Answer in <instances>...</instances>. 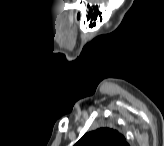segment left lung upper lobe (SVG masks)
Returning <instances> with one entry per match:
<instances>
[{"label": "left lung upper lobe", "instance_id": "1", "mask_svg": "<svg viewBox=\"0 0 164 146\" xmlns=\"http://www.w3.org/2000/svg\"><path fill=\"white\" fill-rule=\"evenodd\" d=\"M74 146H128V143L117 130L102 127L85 133Z\"/></svg>", "mask_w": 164, "mask_h": 146}]
</instances>
